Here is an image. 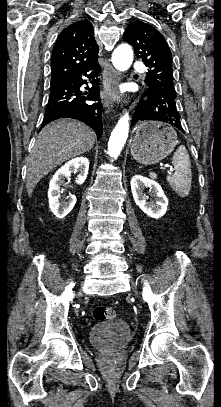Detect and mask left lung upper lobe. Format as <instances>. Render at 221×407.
I'll return each mask as SVG.
<instances>
[{"instance_id":"left-lung-upper-lobe-1","label":"left lung upper lobe","mask_w":221,"mask_h":407,"mask_svg":"<svg viewBox=\"0 0 221 407\" xmlns=\"http://www.w3.org/2000/svg\"><path fill=\"white\" fill-rule=\"evenodd\" d=\"M123 40L131 44L138 59L149 68L148 88L163 84L174 88L171 51L162 34L151 25L134 21L126 28Z\"/></svg>"}]
</instances>
